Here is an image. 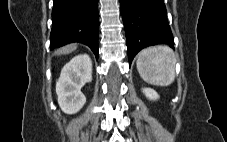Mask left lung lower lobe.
I'll list each match as a JSON object with an SVG mask.
<instances>
[{
	"label": "left lung lower lobe",
	"mask_w": 227,
	"mask_h": 142,
	"mask_svg": "<svg viewBox=\"0 0 227 142\" xmlns=\"http://www.w3.org/2000/svg\"><path fill=\"white\" fill-rule=\"evenodd\" d=\"M129 65L144 47L160 43L174 47L164 0H120Z\"/></svg>",
	"instance_id": "1"
}]
</instances>
